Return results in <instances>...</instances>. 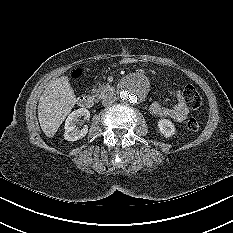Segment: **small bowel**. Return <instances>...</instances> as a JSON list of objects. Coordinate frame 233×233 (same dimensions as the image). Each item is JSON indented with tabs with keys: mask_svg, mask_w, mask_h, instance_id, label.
<instances>
[{
	"mask_svg": "<svg viewBox=\"0 0 233 233\" xmlns=\"http://www.w3.org/2000/svg\"><path fill=\"white\" fill-rule=\"evenodd\" d=\"M176 98L177 102L172 107L153 102L150 106V112L158 118H169L176 122L184 121L189 114V109L180 90L176 91Z\"/></svg>",
	"mask_w": 233,
	"mask_h": 233,
	"instance_id": "small-bowel-1",
	"label": "small bowel"
}]
</instances>
